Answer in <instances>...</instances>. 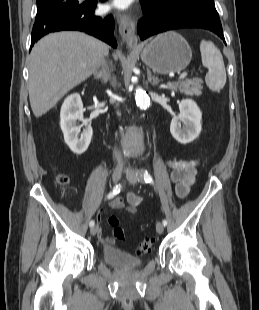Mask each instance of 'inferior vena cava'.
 I'll use <instances>...</instances> for the list:
<instances>
[{
	"label": "inferior vena cava",
	"mask_w": 259,
	"mask_h": 310,
	"mask_svg": "<svg viewBox=\"0 0 259 310\" xmlns=\"http://www.w3.org/2000/svg\"><path fill=\"white\" fill-rule=\"evenodd\" d=\"M103 64H105V63H103ZM113 83H115L114 79H113ZM116 159H117L119 164L122 163V157L119 154H117V153H116Z\"/></svg>",
	"instance_id": "inferior-vena-cava-1"
}]
</instances>
